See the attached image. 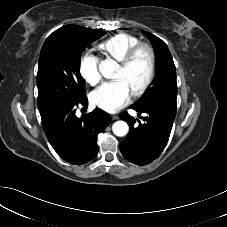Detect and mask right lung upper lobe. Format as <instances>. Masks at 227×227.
<instances>
[{"instance_id": "1", "label": "right lung upper lobe", "mask_w": 227, "mask_h": 227, "mask_svg": "<svg viewBox=\"0 0 227 227\" xmlns=\"http://www.w3.org/2000/svg\"><path fill=\"white\" fill-rule=\"evenodd\" d=\"M93 30V29H92ZM94 31H98V32H104V31H101V30H94Z\"/></svg>"}]
</instances>
